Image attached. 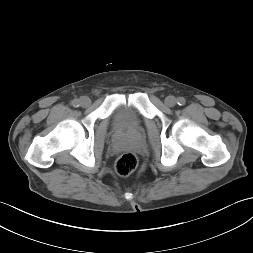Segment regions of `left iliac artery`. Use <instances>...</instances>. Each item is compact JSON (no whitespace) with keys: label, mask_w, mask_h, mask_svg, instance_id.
Masks as SVG:
<instances>
[{"label":"left iliac artery","mask_w":253,"mask_h":253,"mask_svg":"<svg viewBox=\"0 0 253 253\" xmlns=\"http://www.w3.org/2000/svg\"><path fill=\"white\" fill-rule=\"evenodd\" d=\"M185 99L183 98V97H179L178 99H177V103H178V105H180V106H183L184 104H185Z\"/></svg>","instance_id":"obj_1"}]
</instances>
